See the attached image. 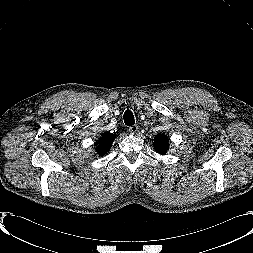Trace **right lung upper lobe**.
Returning a JSON list of instances; mask_svg holds the SVG:
<instances>
[{"label": "right lung upper lobe", "mask_w": 253, "mask_h": 253, "mask_svg": "<svg viewBox=\"0 0 253 253\" xmlns=\"http://www.w3.org/2000/svg\"><path fill=\"white\" fill-rule=\"evenodd\" d=\"M116 134L104 133L96 142V151L99 155L104 156L109 150L114 141Z\"/></svg>", "instance_id": "1"}]
</instances>
